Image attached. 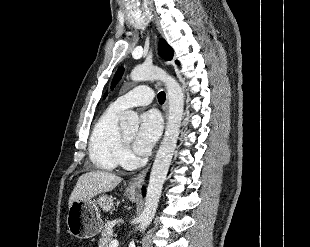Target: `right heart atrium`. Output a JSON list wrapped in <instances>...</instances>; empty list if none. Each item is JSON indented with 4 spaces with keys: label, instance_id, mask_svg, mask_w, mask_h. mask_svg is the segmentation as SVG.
<instances>
[{
    "label": "right heart atrium",
    "instance_id": "d8ad5b80",
    "mask_svg": "<svg viewBox=\"0 0 310 247\" xmlns=\"http://www.w3.org/2000/svg\"><path fill=\"white\" fill-rule=\"evenodd\" d=\"M131 159V152L130 150L128 149V147L125 148L124 150V156H123V163H126L128 162L129 160Z\"/></svg>",
    "mask_w": 310,
    "mask_h": 247
}]
</instances>
